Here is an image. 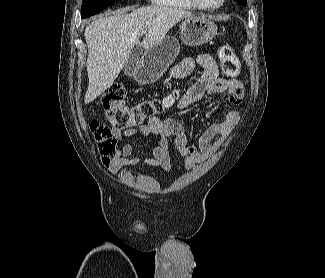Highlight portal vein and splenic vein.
Here are the masks:
<instances>
[{
    "mask_svg": "<svg viewBox=\"0 0 325 278\" xmlns=\"http://www.w3.org/2000/svg\"><path fill=\"white\" fill-rule=\"evenodd\" d=\"M142 33H144V34H145V33H146V30H145V29H144V30H142Z\"/></svg>",
    "mask_w": 325,
    "mask_h": 278,
    "instance_id": "18ae733b",
    "label": "portal vein and splenic vein"
}]
</instances>
